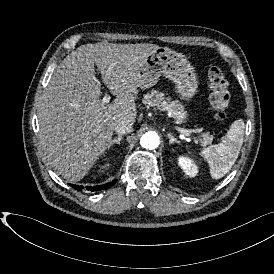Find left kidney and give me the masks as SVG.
<instances>
[{"label": "left kidney", "mask_w": 274, "mask_h": 274, "mask_svg": "<svg viewBox=\"0 0 274 274\" xmlns=\"http://www.w3.org/2000/svg\"><path fill=\"white\" fill-rule=\"evenodd\" d=\"M178 165L183 169L184 173L189 177H195L198 174V166L194 161L185 156L178 157Z\"/></svg>", "instance_id": "5707ae66"}]
</instances>
